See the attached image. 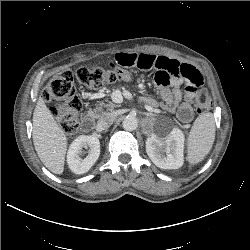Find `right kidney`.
I'll list each match as a JSON object with an SVG mask.
<instances>
[{
	"label": "right kidney",
	"mask_w": 250,
	"mask_h": 250,
	"mask_svg": "<svg viewBox=\"0 0 250 250\" xmlns=\"http://www.w3.org/2000/svg\"><path fill=\"white\" fill-rule=\"evenodd\" d=\"M83 147H89L88 155L81 159ZM100 155V142L96 136H78L70 145L67 153V163L75 174H83L95 164Z\"/></svg>",
	"instance_id": "1"
}]
</instances>
